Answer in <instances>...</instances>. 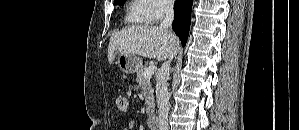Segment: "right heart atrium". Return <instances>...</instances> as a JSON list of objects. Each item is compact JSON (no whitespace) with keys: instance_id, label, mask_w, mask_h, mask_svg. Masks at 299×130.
Segmentation results:
<instances>
[{"instance_id":"1","label":"right heart atrium","mask_w":299,"mask_h":130,"mask_svg":"<svg viewBox=\"0 0 299 130\" xmlns=\"http://www.w3.org/2000/svg\"><path fill=\"white\" fill-rule=\"evenodd\" d=\"M144 2L147 4V18L150 22L161 20L173 7L170 0H144Z\"/></svg>"}]
</instances>
